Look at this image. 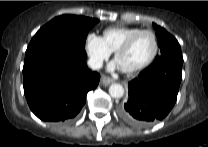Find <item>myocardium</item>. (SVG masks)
<instances>
[{"instance_id": "myocardium-1", "label": "myocardium", "mask_w": 208, "mask_h": 147, "mask_svg": "<svg viewBox=\"0 0 208 147\" xmlns=\"http://www.w3.org/2000/svg\"><path fill=\"white\" fill-rule=\"evenodd\" d=\"M142 34H150L154 40V51L152 53V55L150 56V58L137 66H133V67H123L119 65V68L121 71H123L124 73H128V74H132V73H136L139 71H142L144 69H146L147 67H149L156 59L158 52H159V41L158 38L156 36V34L151 31V30H140L134 34H132L129 38H127L119 47L118 49L115 51V59L116 61L118 60L119 56L122 55L124 52H126L131 45L133 44V42Z\"/></svg>"}]
</instances>
